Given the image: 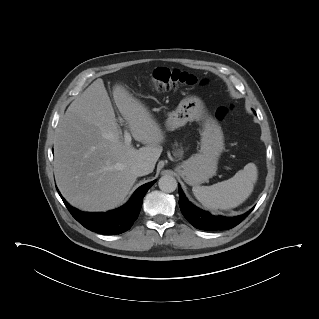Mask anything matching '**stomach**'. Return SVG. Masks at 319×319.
<instances>
[{
	"instance_id": "1",
	"label": "stomach",
	"mask_w": 319,
	"mask_h": 319,
	"mask_svg": "<svg viewBox=\"0 0 319 319\" xmlns=\"http://www.w3.org/2000/svg\"><path fill=\"white\" fill-rule=\"evenodd\" d=\"M192 121H202L200 150L179 163L176 171L187 184L197 186L216 174L218 160L224 150V136L218 122L208 114L203 101L197 96L182 99L175 111L169 114L166 127L173 131Z\"/></svg>"
}]
</instances>
